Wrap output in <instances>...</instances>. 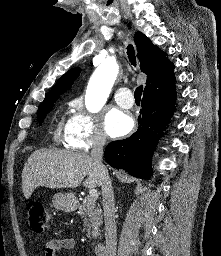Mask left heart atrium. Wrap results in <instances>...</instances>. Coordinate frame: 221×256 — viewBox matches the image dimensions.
Instances as JSON below:
<instances>
[{"mask_svg":"<svg viewBox=\"0 0 221 256\" xmlns=\"http://www.w3.org/2000/svg\"><path fill=\"white\" fill-rule=\"evenodd\" d=\"M133 126L132 118L124 111L111 108L104 117V129L110 137L127 134Z\"/></svg>","mask_w":221,"mask_h":256,"instance_id":"1","label":"left heart atrium"}]
</instances>
